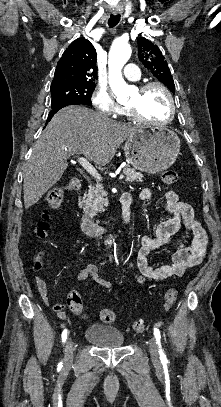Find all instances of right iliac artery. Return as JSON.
I'll use <instances>...</instances> for the list:
<instances>
[{
    "mask_svg": "<svg viewBox=\"0 0 221 407\" xmlns=\"http://www.w3.org/2000/svg\"><path fill=\"white\" fill-rule=\"evenodd\" d=\"M66 339H67V330L65 329V330L62 332V342H65ZM59 365H62V362H60Z\"/></svg>",
    "mask_w": 221,
    "mask_h": 407,
    "instance_id": "1",
    "label": "right iliac artery"
}]
</instances>
